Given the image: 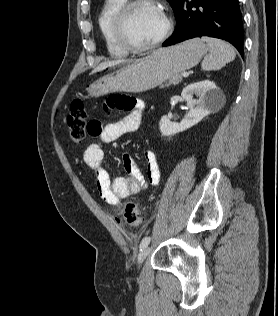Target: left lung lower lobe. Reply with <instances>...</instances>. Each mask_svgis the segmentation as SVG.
<instances>
[{
	"label": "left lung lower lobe",
	"mask_w": 278,
	"mask_h": 316,
	"mask_svg": "<svg viewBox=\"0 0 278 316\" xmlns=\"http://www.w3.org/2000/svg\"><path fill=\"white\" fill-rule=\"evenodd\" d=\"M177 26L163 46L210 36L230 42L243 55L244 30L238 0H183Z\"/></svg>",
	"instance_id": "0a47b994"
}]
</instances>
